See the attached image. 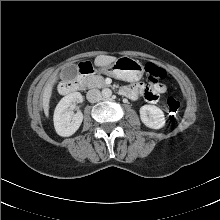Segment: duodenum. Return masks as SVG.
Segmentation results:
<instances>
[{
	"label": "duodenum",
	"mask_w": 220,
	"mask_h": 220,
	"mask_svg": "<svg viewBox=\"0 0 220 220\" xmlns=\"http://www.w3.org/2000/svg\"><path fill=\"white\" fill-rule=\"evenodd\" d=\"M93 73V67L89 63H83L79 66L78 75L75 79L64 82L61 87L60 91L64 94H69L72 92L77 91L82 84V80Z\"/></svg>",
	"instance_id": "obj_1"
}]
</instances>
